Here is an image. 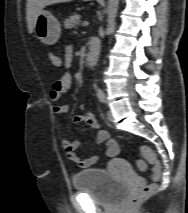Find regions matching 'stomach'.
Listing matches in <instances>:
<instances>
[{
  "mask_svg": "<svg viewBox=\"0 0 188 213\" xmlns=\"http://www.w3.org/2000/svg\"><path fill=\"white\" fill-rule=\"evenodd\" d=\"M34 32L41 42L53 45L60 38L61 25L50 11L41 10L35 22Z\"/></svg>",
  "mask_w": 188,
  "mask_h": 213,
  "instance_id": "0dacf381",
  "label": "stomach"
}]
</instances>
